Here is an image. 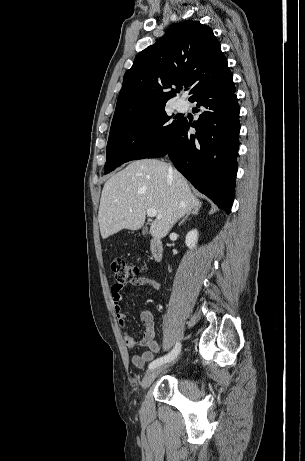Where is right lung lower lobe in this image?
<instances>
[{
	"instance_id": "obj_1",
	"label": "right lung lower lobe",
	"mask_w": 305,
	"mask_h": 461,
	"mask_svg": "<svg viewBox=\"0 0 305 461\" xmlns=\"http://www.w3.org/2000/svg\"><path fill=\"white\" fill-rule=\"evenodd\" d=\"M189 101L197 102V121L180 119L168 140L146 158L168 155L199 191L227 214L235 195L239 106L231 73L204 88ZM190 126L196 134H190Z\"/></svg>"
}]
</instances>
